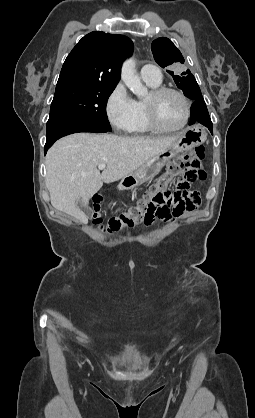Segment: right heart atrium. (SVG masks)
Instances as JSON below:
<instances>
[{"instance_id":"right-heart-atrium-1","label":"right heart atrium","mask_w":255,"mask_h":418,"mask_svg":"<svg viewBox=\"0 0 255 418\" xmlns=\"http://www.w3.org/2000/svg\"><path fill=\"white\" fill-rule=\"evenodd\" d=\"M105 112L116 130L127 132L133 127L137 115L136 101L122 83L117 84L108 96Z\"/></svg>"}]
</instances>
